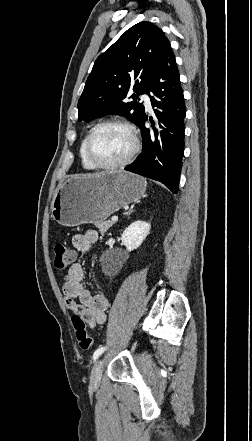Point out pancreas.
I'll return each instance as SVG.
<instances>
[{
	"label": "pancreas",
	"mask_w": 252,
	"mask_h": 441,
	"mask_svg": "<svg viewBox=\"0 0 252 441\" xmlns=\"http://www.w3.org/2000/svg\"><path fill=\"white\" fill-rule=\"evenodd\" d=\"M95 226L99 229V232L103 235L114 224L113 221H96Z\"/></svg>",
	"instance_id": "obj_1"
}]
</instances>
